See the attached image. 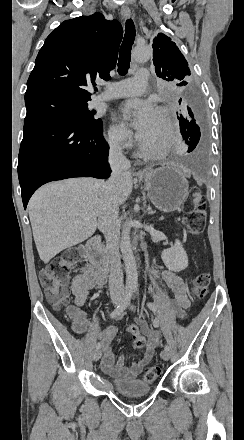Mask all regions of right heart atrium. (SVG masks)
<instances>
[{"instance_id": "1", "label": "right heart atrium", "mask_w": 244, "mask_h": 440, "mask_svg": "<svg viewBox=\"0 0 244 440\" xmlns=\"http://www.w3.org/2000/svg\"><path fill=\"white\" fill-rule=\"evenodd\" d=\"M142 139L123 124H112L108 131V142L113 149L129 147L134 141Z\"/></svg>"}]
</instances>
